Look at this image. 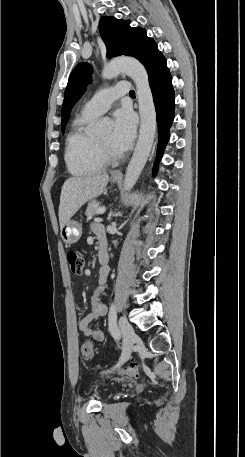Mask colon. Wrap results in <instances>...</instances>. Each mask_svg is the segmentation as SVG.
<instances>
[{
  "mask_svg": "<svg viewBox=\"0 0 245 457\" xmlns=\"http://www.w3.org/2000/svg\"><path fill=\"white\" fill-rule=\"evenodd\" d=\"M67 261L70 270L75 275H80L83 271L84 260L81 255L74 251L69 250L66 254ZM93 342L91 340H85L80 344V354L84 359H90L93 356ZM120 375L137 376L139 374V368L136 363H131L128 366L118 370Z\"/></svg>",
  "mask_w": 245,
  "mask_h": 457,
  "instance_id": "obj_1",
  "label": "colon"
}]
</instances>
